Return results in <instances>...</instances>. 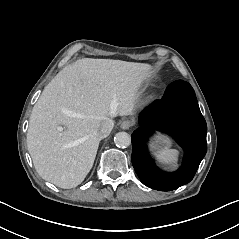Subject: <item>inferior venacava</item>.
<instances>
[{
    "mask_svg": "<svg viewBox=\"0 0 239 239\" xmlns=\"http://www.w3.org/2000/svg\"><path fill=\"white\" fill-rule=\"evenodd\" d=\"M114 125H115V120L113 119L106 120L97 130L98 137L100 139L106 138L112 131Z\"/></svg>",
    "mask_w": 239,
    "mask_h": 239,
    "instance_id": "inferior-vena-cava-1",
    "label": "inferior vena cava"
}]
</instances>
